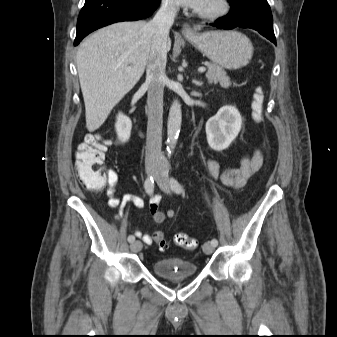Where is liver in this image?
Here are the masks:
<instances>
[{
	"mask_svg": "<svg viewBox=\"0 0 337 337\" xmlns=\"http://www.w3.org/2000/svg\"><path fill=\"white\" fill-rule=\"evenodd\" d=\"M146 26L145 21L115 23L79 46L76 62L88 131L97 130L142 77L153 41Z\"/></svg>",
	"mask_w": 337,
	"mask_h": 337,
	"instance_id": "obj_1",
	"label": "liver"
}]
</instances>
